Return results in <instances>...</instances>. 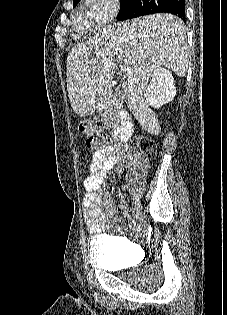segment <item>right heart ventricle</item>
I'll return each instance as SVG.
<instances>
[{
	"label": "right heart ventricle",
	"instance_id": "right-heart-ventricle-1",
	"mask_svg": "<svg viewBox=\"0 0 227 315\" xmlns=\"http://www.w3.org/2000/svg\"><path fill=\"white\" fill-rule=\"evenodd\" d=\"M74 27L77 32L86 34L93 29V21L91 19L89 11L84 8H80L74 15Z\"/></svg>",
	"mask_w": 227,
	"mask_h": 315
}]
</instances>
